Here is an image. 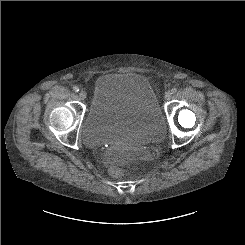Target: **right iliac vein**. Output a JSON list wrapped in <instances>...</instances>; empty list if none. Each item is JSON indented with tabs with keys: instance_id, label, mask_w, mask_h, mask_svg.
Instances as JSON below:
<instances>
[{
	"instance_id": "obj_1",
	"label": "right iliac vein",
	"mask_w": 245,
	"mask_h": 245,
	"mask_svg": "<svg viewBox=\"0 0 245 245\" xmlns=\"http://www.w3.org/2000/svg\"><path fill=\"white\" fill-rule=\"evenodd\" d=\"M79 97H80V99L84 100L87 97V93L85 91L81 90L79 92Z\"/></svg>"
}]
</instances>
